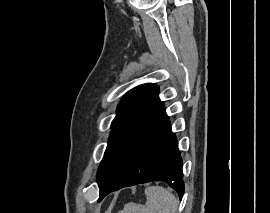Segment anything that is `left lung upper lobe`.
Segmentation results:
<instances>
[{
  "mask_svg": "<svg viewBox=\"0 0 270 213\" xmlns=\"http://www.w3.org/2000/svg\"><path fill=\"white\" fill-rule=\"evenodd\" d=\"M162 105L158 88L143 84L128 91L112 122L108 146L98 169V184L103 180L117 155L140 124Z\"/></svg>",
  "mask_w": 270,
  "mask_h": 213,
  "instance_id": "obj_1",
  "label": "left lung upper lobe"
}]
</instances>
